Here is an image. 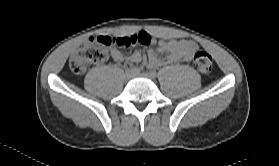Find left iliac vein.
<instances>
[{
  "instance_id": "left-iliac-vein-1",
  "label": "left iliac vein",
  "mask_w": 279,
  "mask_h": 166,
  "mask_svg": "<svg viewBox=\"0 0 279 166\" xmlns=\"http://www.w3.org/2000/svg\"><path fill=\"white\" fill-rule=\"evenodd\" d=\"M135 76L144 77V78H149V79H154V76H152V75L149 74V73H138V74H135Z\"/></svg>"
}]
</instances>
